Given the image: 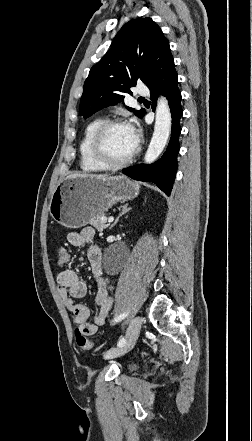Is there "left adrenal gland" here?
<instances>
[{
	"label": "left adrenal gland",
	"mask_w": 252,
	"mask_h": 441,
	"mask_svg": "<svg viewBox=\"0 0 252 441\" xmlns=\"http://www.w3.org/2000/svg\"><path fill=\"white\" fill-rule=\"evenodd\" d=\"M131 210V208H128V204H125L121 213L119 214V216L116 218L115 222L110 226L109 229H112L119 221V219L126 214L127 212H129Z\"/></svg>",
	"instance_id": "obj_1"
}]
</instances>
